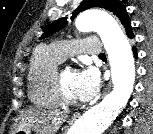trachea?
Listing matches in <instances>:
<instances>
[{
    "label": "trachea",
    "mask_w": 153,
    "mask_h": 134,
    "mask_svg": "<svg viewBox=\"0 0 153 134\" xmlns=\"http://www.w3.org/2000/svg\"><path fill=\"white\" fill-rule=\"evenodd\" d=\"M99 56H100V57H103V56H105V54H104V53H101V54H99Z\"/></svg>",
    "instance_id": "3493384b"
}]
</instances>
